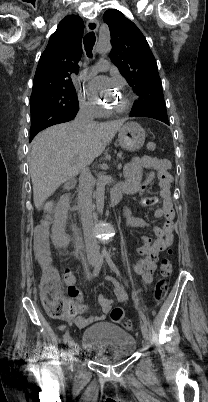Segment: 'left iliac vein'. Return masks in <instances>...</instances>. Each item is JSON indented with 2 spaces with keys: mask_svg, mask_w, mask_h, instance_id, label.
I'll list each match as a JSON object with an SVG mask.
<instances>
[{
  "mask_svg": "<svg viewBox=\"0 0 208 402\" xmlns=\"http://www.w3.org/2000/svg\"><path fill=\"white\" fill-rule=\"evenodd\" d=\"M101 258V256H99V259ZM141 332L143 335V338L145 340V342H148L149 340V332H148V327L147 324L143 321L141 322Z\"/></svg>",
  "mask_w": 208,
  "mask_h": 402,
  "instance_id": "1",
  "label": "left iliac vein"
}]
</instances>
